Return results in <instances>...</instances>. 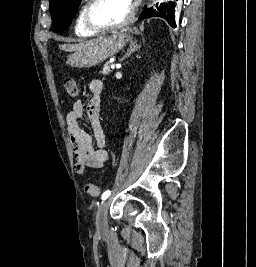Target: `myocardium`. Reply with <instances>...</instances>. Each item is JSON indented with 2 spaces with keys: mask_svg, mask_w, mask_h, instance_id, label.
Returning a JSON list of instances; mask_svg holds the SVG:
<instances>
[{
  "mask_svg": "<svg viewBox=\"0 0 256 267\" xmlns=\"http://www.w3.org/2000/svg\"><path fill=\"white\" fill-rule=\"evenodd\" d=\"M103 0H92V3L90 4V6L85 10L84 13V22L85 25L87 26V28H89L90 30L97 32V33H107V32H114L117 30H121L123 28H125L126 26H128L129 24L133 23L135 21V10L132 7V14H131V18L128 22L125 23H119V24H115V25H99L91 16V12L93 10V8L95 7V5ZM116 1H120V0H116Z\"/></svg>",
  "mask_w": 256,
  "mask_h": 267,
  "instance_id": "f54148a6",
  "label": "myocardium"
}]
</instances>
